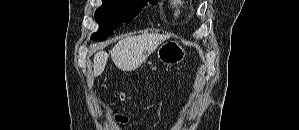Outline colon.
<instances>
[{"label":"colon","mask_w":299,"mask_h":130,"mask_svg":"<svg viewBox=\"0 0 299 130\" xmlns=\"http://www.w3.org/2000/svg\"><path fill=\"white\" fill-rule=\"evenodd\" d=\"M120 97L123 99L125 97V95L123 93H121Z\"/></svg>","instance_id":"5ec220e1"}]
</instances>
